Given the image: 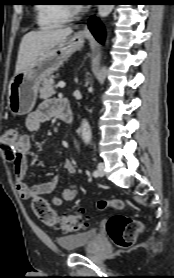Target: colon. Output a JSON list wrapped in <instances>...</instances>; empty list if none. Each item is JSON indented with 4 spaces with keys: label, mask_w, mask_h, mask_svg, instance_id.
Instances as JSON below:
<instances>
[{
    "label": "colon",
    "mask_w": 174,
    "mask_h": 278,
    "mask_svg": "<svg viewBox=\"0 0 174 278\" xmlns=\"http://www.w3.org/2000/svg\"><path fill=\"white\" fill-rule=\"evenodd\" d=\"M17 136L16 130H9L0 138V149L7 160L14 158L13 142ZM98 206L102 210L107 208L121 210L124 208V202L120 199L102 200ZM32 209L41 222L54 229L73 232L87 226V216L84 212L59 215L40 196L33 198ZM106 228L111 240L117 246L126 248L133 245L142 230V224L130 217L117 214L107 220Z\"/></svg>",
    "instance_id": "5ec220e1"
}]
</instances>
